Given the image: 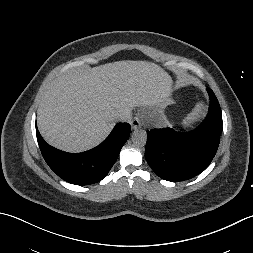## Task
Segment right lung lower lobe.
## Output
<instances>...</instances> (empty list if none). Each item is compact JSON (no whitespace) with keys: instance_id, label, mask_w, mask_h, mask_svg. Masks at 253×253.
Listing matches in <instances>:
<instances>
[{"instance_id":"1","label":"right lung lower lobe","mask_w":253,"mask_h":253,"mask_svg":"<svg viewBox=\"0 0 253 253\" xmlns=\"http://www.w3.org/2000/svg\"><path fill=\"white\" fill-rule=\"evenodd\" d=\"M129 133L128 123H118L102 144L90 151L73 154L47 144L36 128L38 144L46 163L60 178L76 185L101 181L117 160Z\"/></svg>"}]
</instances>
